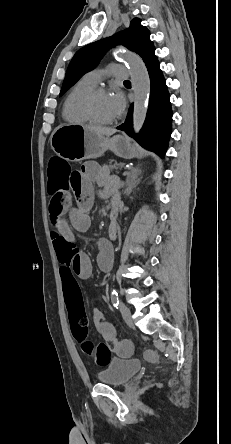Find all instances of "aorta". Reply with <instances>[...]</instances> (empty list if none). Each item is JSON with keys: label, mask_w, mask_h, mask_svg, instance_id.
<instances>
[{"label": "aorta", "mask_w": 231, "mask_h": 444, "mask_svg": "<svg viewBox=\"0 0 231 444\" xmlns=\"http://www.w3.org/2000/svg\"><path fill=\"white\" fill-rule=\"evenodd\" d=\"M130 69L131 82L134 90L133 128L139 132L142 128L148 110L150 95V78L143 60L131 52L118 54Z\"/></svg>", "instance_id": "aorta-1"}]
</instances>
